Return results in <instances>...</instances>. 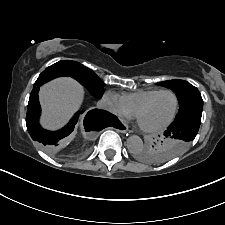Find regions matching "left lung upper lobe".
<instances>
[{"mask_svg": "<svg viewBox=\"0 0 225 225\" xmlns=\"http://www.w3.org/2000/svg\"><path fill=\"white\" fill-rule=\"evenodd\" d=\"M157 85L172 89L178 98L179 111L176 115L180 117L193 111L203 110V100L198 89L184 80H168L158 82ZM190 142L173 137H164L148 150L141 152L139 158L149 163H161L167 161L175 155L173 146L176 144L185 145L183 150Z\"/></svg>", "mask_w": 225, "mask_h": 225, "instance_id": "left-lung-upper-lobe-1", "label": "left lung upper lobe"}]
</instances>
